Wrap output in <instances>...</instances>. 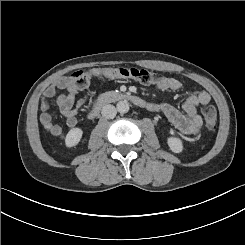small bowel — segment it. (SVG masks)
<instances>
[{
    "label": "small bowel",
    "instance_id": "obj_1",
    "mask_svg": "<svg viewBox=\"0 0 245 245\" xmlns=\"http://www.w3.org/2000/svg\"><path fill=\"white\" fill-rule=\"evenodd\" d=\"M181 86L182 84L179 80L168 77L162 78L156 84L157 89L163 91L179 90ZM57 90L63 91L57 98V105L66 119L65 125L69 130H75L77 128V114L85 103V97L80 98L75 103L76 88L71 79L66 77L56 80L44 90L41 99L40 123L51 135L63 138V126L55 123L50 114V101L55 96ZM210 99V94L207 91H200L198 94L188 96L184 99L181 104L182 112L166 103L150 104L149 109L157 114L163 115L185 137H192L199 132L202 126V118L197 113V107L208 104Z\"/></svg>",
    "mask_w": 245,
    "mask_h": 245
}]
</instances>
